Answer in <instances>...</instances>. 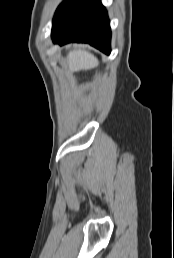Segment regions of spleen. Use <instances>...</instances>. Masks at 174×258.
<instances>
[{
    "instance_id": "3e777b00",
    "label": "spleen",
    "mask_w": 174,
    "mask_h": 258,
    "mask_svg": "<svg viewBox=\"0 0 174 258\" xmlns=\"http://www.w3.org/2000/svg\"><path fill=\"white\" fill-rule=\"evenodd\" d=\"M98 63L97 58L85 50L70 51L67 55V64L71 70L92 69Z\"/></svg>"
}]
</instances>
